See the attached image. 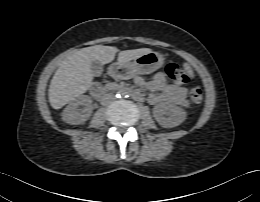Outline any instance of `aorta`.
Wrapping results in <instances>:
<instances>
[{
  "label": "aorta",
  "mask_w": 260,
  "mask_h": 202,
  "mask_svg": "<svg viewBox=\"0 0 260 202\" xmlns=\"http://www.w3.org/2000/svg\"><path fill=\"white\" fill-rule=\"evenodd\" d=\"M117 97L121 98V97H128V92L125 90H121L118 92Z\"/></svg>",
  "instance_id": "obj_1"
}]
</instances>
